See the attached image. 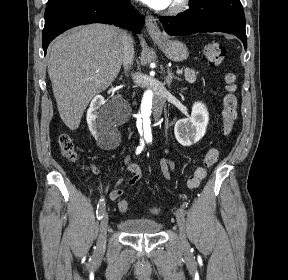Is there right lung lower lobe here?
<instances>
[{"mask_svg": "<svg viewBox=\"0 0 288 280\" xmlns=\"http://www.w3.org/2000/svg\"><path fill=\"white\" fill-rule=\"evenodd\" d=\"M106 23L140 33L143 18L130 0H49L45 10L43 50L62 32L82 24Z\"/></svg>", "mask_w": 288, "mask_h": 280, "instance_id": "right-lung-lower-lobe-1", "label": "right lung lower lobe"}]
</instances>
